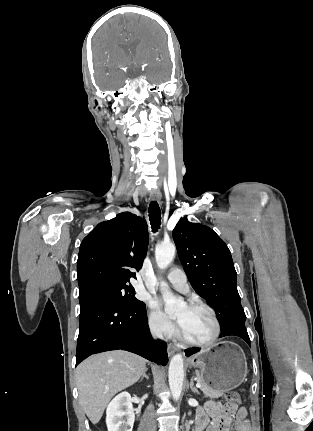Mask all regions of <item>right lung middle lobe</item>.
Here are the masks:
<instances>
[{
  "mask_svg": "<svg viewBox=\"0 0 313 431\" xmlns=\"http://www.w3.org/2000/svg\"><path fill=\"white\" fill-rule=\"evenodd\" d=\"M90 297H105L110 298L115 301H119L124 303L126 306L129 307H136V306H144L145 304L142 301H139L135 297V291L132 286H127L126 284L123 285H117V286H109L100 289L96 293L80 298L79 302H82L84 299L90 298Z\"/></svg>",
  "mask_w": 313,
  "mask_h": 431,
  "instance_id": "dd1d6c3e",
  "label": "right lung middle lobe"
}]
</instances>
